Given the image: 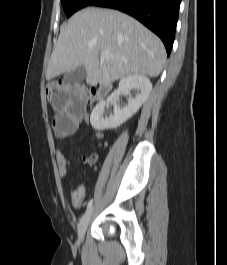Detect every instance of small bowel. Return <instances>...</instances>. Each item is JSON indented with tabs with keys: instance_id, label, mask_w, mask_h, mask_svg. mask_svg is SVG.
<instances>
[{
	"instance_id": "1",
	"label": "small bowel",
	"mask_w": 227,
	"mask_h": 265,
	"mask_svg": "<svg viewBox=\"0 0 227 265\" xmlns=\"http://www.w3.org/2000/svg\"><path fill=\"white\" fill-rule=\"evenodd\" d=\"M51 100L56 110L53 118V131L58 138L73 135L82 122L89 123L84 91H79V87H56ZM94 136L99 140L104 137V134L101 130H95ZM82 160L86 165H94L98 160V155L96 153L84 155ZM57 165L60 177H66L69 170V161L62 152L57 154ZM85 195L83 186L79 185L73 188L71 201L74 208L82 207Z\"/></svg>"
}]
</instances>
